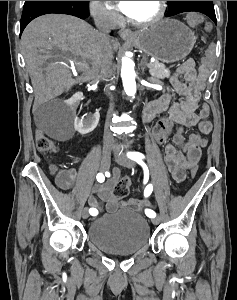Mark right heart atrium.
<instances>
[{
    "label": "right heart atrium",
    "mask_w": 237,
    "mask_h": 300,
    "mask_svg": "<svg viewBox=\"0 0 237 300\" xmlns=\"http://www.w3.org/2000/svg\"><path fill=\"white\" fill-rule=\"evenodd\" d=\"M89 10L93 20L100 25L113 26L118 21L117 14L101 1H90Z\"/></svg>",
    "instance_id": "1"
}]
</instances>
